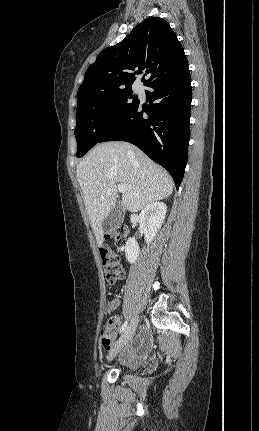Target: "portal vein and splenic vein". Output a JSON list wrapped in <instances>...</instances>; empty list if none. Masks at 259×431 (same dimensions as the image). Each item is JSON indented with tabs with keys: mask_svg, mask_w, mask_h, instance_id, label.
<instances>
[{
	"mask_svg": "<svg viewBox=\"0 0 259 431\" xmlns=\"http://www.w3.org/2000/svg\"><path fill=\"white\" fill-rule=\"evenodd\" d=\"M118 190H119V192H121V193L126 192V190H127V186H126V184H122V183L118 184Z\"/></svg>",
	"mask_w": 259,
	"mask_h": 431,
	"instance_id": "1",
	"label": "portal vein and splenic vein"
}]
</instances>
